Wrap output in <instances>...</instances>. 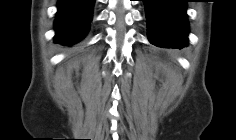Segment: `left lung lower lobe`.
Returning a JSON list of instances; mask_svg holds the SVG:
<instances>
[{
	"label": "left lung lower lobe",
	"mask_w": 236,
	"mask_h": 140,
	"mask_svg": "<svg viewBox=\"0 0 236 140\" xmlns=\"http://www.w3.org/2000/svg\"><path fill=\"white\" fill-rule=\"evenodd\" d=\"M146 10L148 39L160 47L187 46L188 0H143Z\"/></svg>",
	"instance_id": "left-lung-lower-lobe-1"
}]
</instances>
